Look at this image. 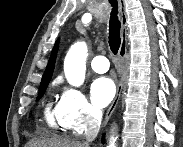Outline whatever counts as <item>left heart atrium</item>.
Returning a JSON list of instances; mask_svg holds the SVG:
<instances>
[{"label":"left heart atrium","mask_w":183,"mask_h":147,"mask_svg":"<svg viewBox=\"0 0 183 147\" xmlns=\"http://www.w3.org/2000/svg\"><path fill=\"white\" fill-rule=\"evenodd\" d=\"M115 92V83L109 77H98L90 86L91 100L98 108L107 106L114 98Z\"/></svg>","instance_id":"obj_1"}]
</instances>
